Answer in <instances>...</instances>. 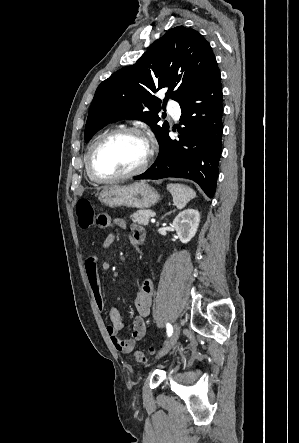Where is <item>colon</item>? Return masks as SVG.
<instances>
[{"label": "colon", "instance_id": "obj_1", "mask_svg": "<svg viewBox=\"0 0 299 443\" xmlns=\"http://www.w3.org/2000/svg\"><path fill=\"white\" fill-rule=\"evenodd\" d=\"M76 213L78 216L79 226L82 229H89L90 227L97 225V217L95 215L92 204L86 200L81 199L77 202ZM133 358L136 362L143 363L146 361V355L143 351H135Z\"/></svg>", "mask_w": 299, "mask_h": 443}]
</instances>
